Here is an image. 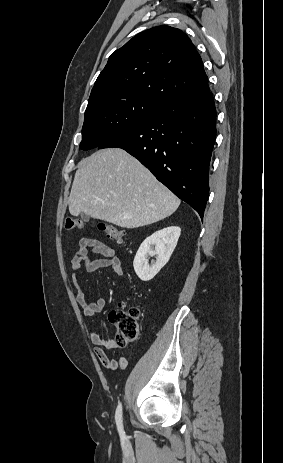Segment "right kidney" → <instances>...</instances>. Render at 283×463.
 Returning <instances> with one entry per match:
<instances>
[{
	"label": "right kidney",
	"instance_id": "ca27d5eb",
	"mask_svg": "<svg viewBox=\"0 0 283 463\" xmlns=\"http://www.w3.org/2000/svg\"><path fill=\"white\" fill-rule=\"evenodd\" d=\"M180 233L179 227L171 226L155 232L142 242L133 261L135 273L142 281L153 279L169 261ZM148 255H156V261L151 266L148 264Z\"/></svg>",
	"mask_w": 283,
	"mask_h": 463
}]
</instances>
